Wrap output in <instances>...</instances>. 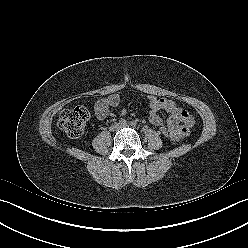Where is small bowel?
<instances>
[{"instance_id": "1", "label": "small bowel", "mask_w": 248, "mask_h": 248, "mask_svg": "<svg viewBox=\"0 0 248 248\" xmlns=\"http://www.w3.org/2000/svg\"><path fill=\"white\" fill-rule=\"evenodd\" d=\"M149 106V121L156 127L163 126V119L159 111L164 110L169 114L167 127L174 134L175 140H180L189 135L191 127L194 125V118L185 109L179 107L174 101L167 98H158L153 95L146 97ZM121 101L119 93H112L100 98L95 104V115L98 120H105L110 114V108L117 106Z\"/></svg>"}]
</instances>
